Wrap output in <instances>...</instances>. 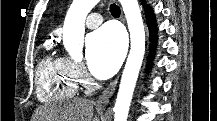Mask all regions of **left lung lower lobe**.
<instances>
[{
	"mask_svg": "<svg viewBox=\"0 0 217 121\" xmlns=\"http://www.w3.org/2000/svg\"><path fill=\"white\" fill-rule=\"evenodd\" d=\"M146 10V17H147V22L150 26V40L153 42L152 45L154 46V41L156 40V35H155V24H154V19H153V13L149 9L145 7ZM151 52H154V48L151 50Z\"/></svg>",
	"mask_w": 217,
	"mask_h": 121,
	"instance_id": "0a47b994",
	"label": "left lung lower lobe"
}]
</instances>
